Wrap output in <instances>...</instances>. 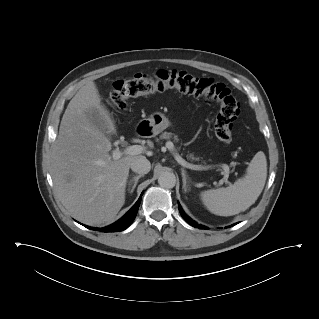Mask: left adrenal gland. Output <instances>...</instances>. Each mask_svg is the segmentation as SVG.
<instances>
[{"mask_svg": "<svg viewBox=\"0 0 319 319\" xmlns=\"http://www.w3.org/2000/svg\"><path fill=\"white\" fill-rule=\"evenodd\" d=\"M182 181H183V189L186 192L188 189V185H187V177L185 175V173L182 171Z\"/></svg>", "mask_w": 319, "mask_h": 319, "instance_id": "obj_1", "label": "left adrenal gland"}]
</instances>
